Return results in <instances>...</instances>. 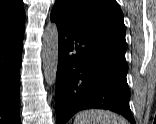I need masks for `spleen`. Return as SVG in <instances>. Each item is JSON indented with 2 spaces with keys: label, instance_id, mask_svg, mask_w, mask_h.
I'll list each match as a JSON object with an SVG mask.
<instances>
[{
  "label": "spleen",
  "instance_id": "1",
  "mask_svg": "<svg viewBox=\"0 0 156 124\" xmlns=\"http://www.w3.org/2000/svg\"><path fill=\"white\" fill-rule=\"evenodd\" d=\"M73 124H128V122L111 111L90 109L79 112Z\"/></svg>",
  "mask_w": 156,
  "mask_h": 124
}]
</instances>
